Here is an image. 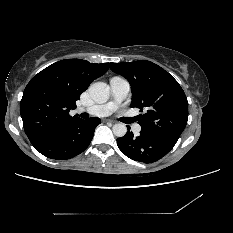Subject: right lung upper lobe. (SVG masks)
<instances>
[{
    "label": "right lung upper lobe",
    "mask_w": 233,
    "mask_h": 233,
    "mask_svg": "<svg viewBox=\"0 0 233 233\" xmlns=\"http://www.w3.org/2000/svg\"><path fill=\"white\" fill-rule=\"evenodd\" d=\"M109 69V63L81 59L58 61L35 75L20 103L24 130L32 145L79 118L69 115L82 92Z\"/></svg>",
    "instance_id": "obj_1"
}]
</instances>
